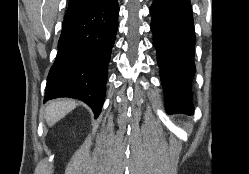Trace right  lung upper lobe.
<instances>
[{
  "instance_id": "cb5924a9",
  "label": "right lung upper lobe",
  "mask_w": 249,
  "mask_h": 174,
  "mask_svg": "<svg viewBox=\"0 0 249 174\" xmlns=\"http://www.w3.org/2000/svg\"><path fill=\"white\" fill-rule=\"evenodd\" d=\"M105 0H69V6L66 13L77 11L86 6L92 5Z\"/></svg>"
}]
</instances>
